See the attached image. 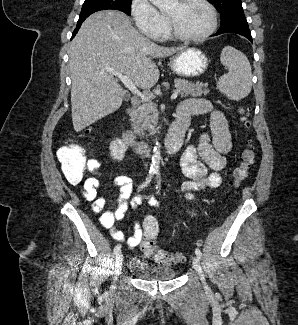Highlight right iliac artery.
<instances>
[{
	"label": "right iliac artery",
	"mask_w": 298,
	"mask_h": 325,
	"mask_svg": "<svg viewBox=\"0 0 298 325\" xmlns=\"http://www.w3.org/2000/svg\"><path fill=\"white\" fill-rule=\"evenodd\" d=\"M152 176H153V173H150V174L148 175V177L146 178L145 182L139 186L138 191H140V190H142L143 188H145V187L148 186L149 182H150L151 179H152ZM120 249H121V244H117V245L115 246V248H114L113 254H114V255H117V254L119 253Z\"/></svg>",
	"instance_id": "obj_1"
}]
</instances>
